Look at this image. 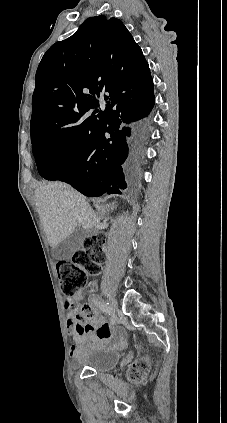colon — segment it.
Returning <instances> with one entry per match:
<instances>
[{
	"mask_svg": "<svg viewBox=\"0 0 227 423\" xmlns=\"http://www.w3.org/2000/svg\"><path fill=\"white\" fill-rule=\"evenodd\" d=\"M106 236L104 233H96L86 237L84 249L76 253L72 260H62L57 263V272L61 280L62 292L69 298L74 296L85 284L88 274L100 272L104 262V245ZM67 307L74 311L81 310L87 316L88 308L82 307L77 302L69 301ZM144 370L142 363L134 364V377H138Z\"/></svg>",
	"mask_w": 227,
	"mask_h": 423,
	"instance_id": "obj_1",
	"label": "colon"
}]
</instances>
